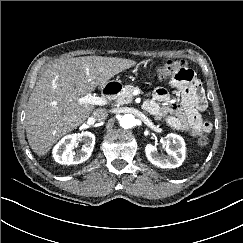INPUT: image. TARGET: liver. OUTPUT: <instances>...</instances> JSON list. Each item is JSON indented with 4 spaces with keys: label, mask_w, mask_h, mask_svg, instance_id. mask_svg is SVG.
Listing matches in <instances>:
<instances>
[{
    "label": "liver",
    "mask_w": 243,
    "mask_h": 243,
    "mask_svg": "<svg viewBox=\"0 0 243 243\" xmlns=\"http://www.w3.org/2000/svg\"><path fill=\"white\" fill-rule=\"evenodd\" d=\"M135 64L130 59L102 56L74 57L53 63L39 77L26 108V134L31 149L45 155L63 135L81 125L92 104L79 98L104 88L116 74Z\"/></svg>",
    "instance_id": "liver-1"
}]
</instances>
